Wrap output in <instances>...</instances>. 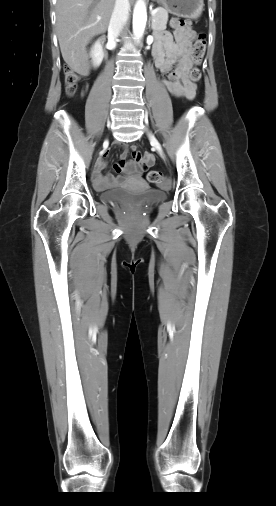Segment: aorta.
<instances>
[{"label":"aorta","mask_w":276,"mask_h":506,"mask_svg":"<svg viewBox=\"0 0 276 506\" xmlns=\"http://www.w3.org/2000/svg\"><path fill=\"white\" fill-rule=\"evenodd\" d=\"M147 21V10L144 0H137L133 12V35L135 40L140 43Z\"/></svg>","instance_id":"obj_1"}]
</instances>
